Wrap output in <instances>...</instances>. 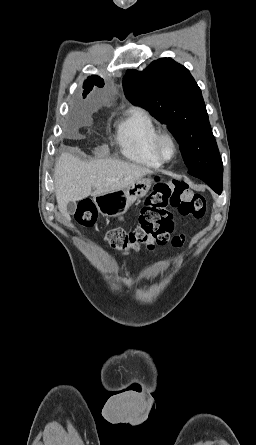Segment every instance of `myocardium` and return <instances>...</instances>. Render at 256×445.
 Here are the masks:
<instances>
[{"instance_id": "1", "label": "myocardium", "mask_w": 256, "mask_h": 445, "mask_svg": "<svg viewBox=\"0 0 256 445\" xmlns=\"http://www.w3.org/2000/svg\"><path fill=\"white\" fill-rule=\"evenodd\" d=\"M164 141H168L173 148V154L169 158H167L162 151V144ZM153 150L160 162L169 163L173 161L178 154V144L171 133L167 131H159L153 141Z\"/></svg>"}]
</instances>
